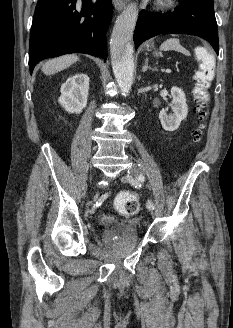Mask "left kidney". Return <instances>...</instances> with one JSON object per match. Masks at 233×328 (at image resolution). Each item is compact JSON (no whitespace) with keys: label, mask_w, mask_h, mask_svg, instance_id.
Listing matches in <instances>:
<instances>
[{"label":"left kidney","mask_w":233,"mask_h":328,"mask_svg":"<svg viewBox=\"0 0 233 328\" xmlns=\"http://www.w3.org/2000/svg\"><path fill=\"white\" fill-rule=\"evenodd\" d=\"M171 96L172 102L170 107L173 113L167 115L168 108H163L159 113V119L163 129L170 132L178 129L181 121L184 120L188 114L186 96L182 89L175 86L172 87Z\"/></svg>","instance_id":"5707ae66"}]
</instances>
